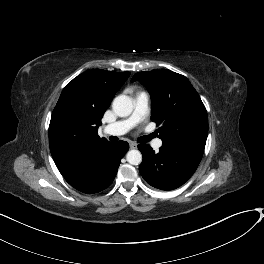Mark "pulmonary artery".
<instances>
[{
    "label": "pulmonary artery",
    "instance_id": "e3ab8cb5",
    "mask_svg": "<svg viewBox=\"0 0 264 264\" xmlns=\"http://www.w3.org/2000/svg\"><path fill=\"white\" fill-rule=\"evenodd\" d=\"M149 108V95L146 92L136 94L134 99V110L132 114L123 120L107 125L104 131L110 135L119 136L130 131L134 126L143 121L147 115ZM162 145L161 139H156L153 142L154 148H159Z\"/></svg>",
    "mask_w": 264,
    "mask_h": 264
}]
</instances>
